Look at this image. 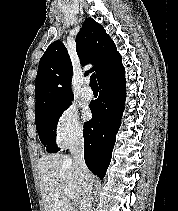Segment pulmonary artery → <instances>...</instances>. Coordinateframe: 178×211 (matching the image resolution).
<instances>
[{
  "label": "pulmonary artery",
  "mask_w": 178,
  "mask_h": 211,
  "mask_svg": "<svg viewBox=\"0 0 178 211\" xmlns=\"http://www.w3.org/2000/svg\"><path fill=\"white\" fill-rule=\"evenodd\" d=\"M82 95L84 98L90 100L93 97V91L90 86V83L87 81L83 87Z\"/></svg>",
  "instance_id": "e3ab8cb5"
}]
</instances>
